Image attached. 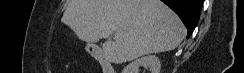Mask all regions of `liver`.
Returning a JSON list of instances; mask_svg holds the SVG:
<instances>
[{
  "instance_id": "liver-1",
  "label": "liver",
  "mask_w": 244,
  "mask_h": 73,
  "mask_svg": "<svg viewBox=\"0 0 244 73\" xmlns=\"http://www.w3.org/2000/svg\"><path fill=\"white\" fill-rule=\"evenodd\" d=\"M61 21L88 43L114 35L102 47L115 64L174 50L186 32L160 0H69Z\"/></svg>"
}]
</instances>
